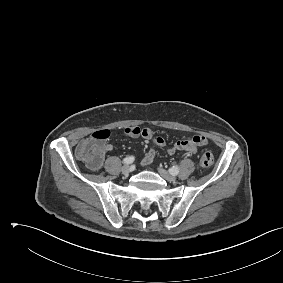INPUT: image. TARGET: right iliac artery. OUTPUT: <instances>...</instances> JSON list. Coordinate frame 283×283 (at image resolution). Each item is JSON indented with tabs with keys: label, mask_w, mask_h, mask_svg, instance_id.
Listing matches in <instances>:
<instances>
[{
	"label": "right iliac artery",
	"mask_w": 283,
	"mask_h": 283,
	"mask_svg": "<svg viewBox=\"0 0 283 283\" xmlns=\"http://www.w3.org/2000/svg\"><path fill=\"white\" fill-rule=\"evenodd\" d=\"M133 161H134V157L133 156H128V157L123 159V163L124 164H131Z\"/></svg>",
	"instance_id": "82829eb1"
}]
</instances>
